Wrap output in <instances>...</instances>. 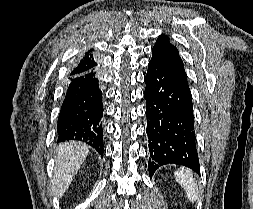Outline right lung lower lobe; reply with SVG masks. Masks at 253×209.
<instances>
[{"mask_svg":"<svg viewBox=\"0 0 253 209\" xmlns=\"http://www.w3.org/2000/svg\"><path fill=\"white\" fill-rule=\"evenodd\" d=\"M103 101L97 71L70 78L57 124V142L82 141L103 157Z\"/></svg>","mask_w":253,"mask_h":209,"instance_id":"1","label":"right lung lower lobe"}]
</instances>
